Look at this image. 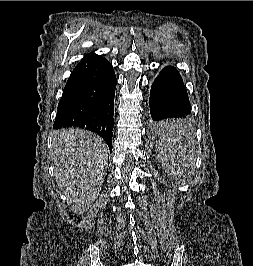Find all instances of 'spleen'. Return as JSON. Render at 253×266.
I'll use <instances>...</instances> for the list:
<instances>
[{"label": "spleen", "mask_w": 253, "mask_h": 266, "mask_svg": "<svg viewBox=\"0 0 253 266\" xmlns=\"http://www.w3.org/2000/svg\"><path fill=\"white\" fill-rule=\"evenodd\" d=\"M160 136L162 139H181L182 132L185 131L184 123H161L160 124ZM184 144L178 140L172 141H157L156 150L158 152V158L166 163L172 162L173 166H178L177 171L171 168V175L177 176L182 173L185 174L188 171L187 166H180L181 158L184 157Z\"/></svg>", "instance_id": "3e777b00"}]
</instances>
